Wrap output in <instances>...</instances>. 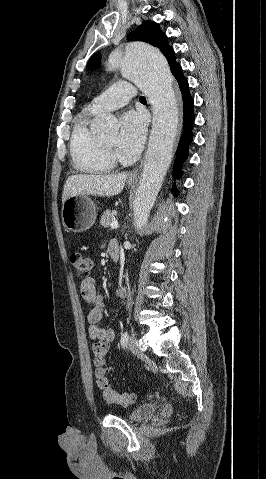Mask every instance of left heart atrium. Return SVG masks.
Segmentation results:
<instances>
[{
	"label": "left heart atrium",
	"instance_id": "left-heart-atrium-1",
	"mask_svg": "<svg viewBox=\"0 0 266 479\" xmlns=\"http://www.w3.org/2000/svg\"><path fill=\"white\" fill-rule=\"evenodd\" d=\"M146 137V118L142 113L129 111L122 117L118 135L120 150L129 155L138 153Z\"/></svg>",
	"mask_w": 266,
	"mask_h": 479
}]
</instances>
